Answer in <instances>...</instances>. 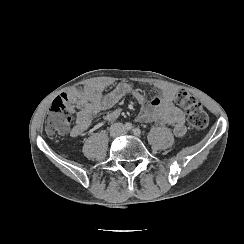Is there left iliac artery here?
<instances>
[{
  "label": "left iliac artery",
  "instance_id": "44dca946",
  "mask_svg": "<svg viewBox=\"0 0 244 244\" xmlns=\"http://www.w3.org/2000/svg\"><path fill=\"white\" fill-rule=\"evenodd\" d=\"M133 133H134V135L139 136L141 134V130L139 128H134Z\"/></svg>",
  "mask_w": 244,
  "mask_h": 244
}]
</instances>
